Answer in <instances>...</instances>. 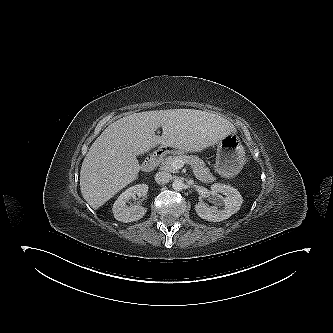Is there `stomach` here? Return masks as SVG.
<instances>
[{
    "mask_svg": "<svg viewBox=\"0 0 333 333\" xmlns=\"http://www.w3.org/2000/svg\"><path fill=\"white\" fill-rule=\"evenodd\" d=\"M244 148L234 133L222 138L217 145L215 171L224 178L236 177L245 164Z\"/></svg>",
    "mask_w": 333,
    "mask_h": 333,
    "instance_id": "1",
    "label": "stomach"
}]
</instances>
